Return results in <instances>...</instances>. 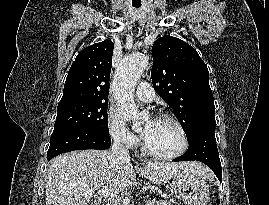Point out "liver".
<instances>
[{"mask_svg": "<svg viewBox=\"0 0 269 205\" xmlns=\"http://www.w3.org/2000/svg\"><path fill=\"white\" fill-rule=\"evenodd\" d=\"M191 172L202 179L212 173L199 162H148L134 167L106 150H79L52 159L46 172V205H88L95 191L107 186L117 198L136 183V174L155 184L169 182L173 175Z\"/></svg>", "mask_w": 269, "mask_h": 205, "instance_id": "6515ba94", "label": "liver"}]
</instances>
